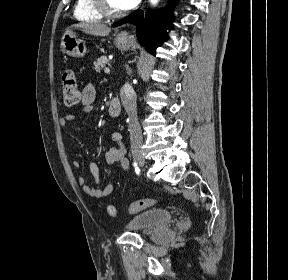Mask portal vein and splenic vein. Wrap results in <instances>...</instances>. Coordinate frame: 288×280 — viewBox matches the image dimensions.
<instances>
[{"label": "portal vein and splenic vein", "instance_id": "portal-vein-and-splenic-vein-1", "mask_svg": "<svg viewBox=\"0 0 288 280\" xmlns=\"http://www.w3.org/2000/svg\"><path fill=\"white\" fill-rule=\"evenodd\" d=\"M104 71H105L106 74H109V73H110V69H109V68H105Z\"/></svg>", "mask_w": 288, "mask_h": 280}]
</instances>
